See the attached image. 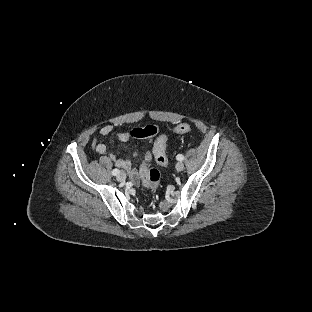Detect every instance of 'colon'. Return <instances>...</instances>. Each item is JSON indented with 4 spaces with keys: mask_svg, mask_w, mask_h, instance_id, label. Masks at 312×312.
Returning <instances> with one entry per match:
<instances>
[{
    "mask_svg": "<svg viewBox=\"0 0 312 312\" xmlns=\"http://www.w3.org/2000/svg\"><path fill=\"white\" fill-rule=\"evenodd\" d=\"M158 127L154 125H149L140 130L138 136H153L157 133ZM189 131V126L187 124L173 125L171 127V132L173 134L187 133ZM170 138V133L168 131H163L156 139L154 143V151L156 159L160 164H166V157L163 150V144ZM140 181L141 185L150 191L156 192L160 187L161 172L159 169L154 167H148L147 165H141L140 167Z\"/></svg>",
    "mask_w": 312,
    "mask_h": 312,
    "instance_id": "5ec220e1",
    "label": "colon"
}]
</instances>
